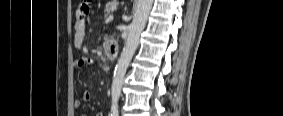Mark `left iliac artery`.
Masks as SVG:
<instances>
[{
    "label": "left iliac artery",
    "instance_id": "obj_1",
    "mask_svg": "<svg viewBox=\"0 0 283 116\" xmlns=\"http://www.w3.org/2000/svg\"><path fill=\"white\" fill-rule=\"evenodd\" d=\"M118 115H119L118 103L114 102L112 103L111 106V116H118Z\"/></svg>",
    "mask_w": 283,
    "mask_h": 116
}]
</instances>
